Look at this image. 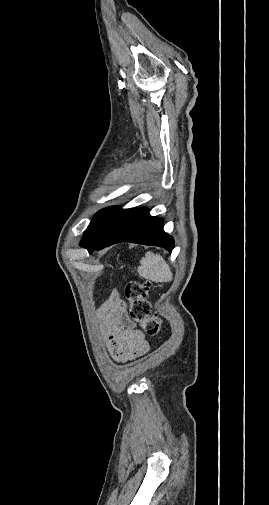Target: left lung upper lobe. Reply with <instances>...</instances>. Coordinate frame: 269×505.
Listing matches in <instances>:
<instances>
[{
	"label": "left lung upper lobe",
	"instance_id": "1",
	"mask_svg": "<svg viewBox=\"0 0 269 505\" xmlns=\"http://www.w3.org/2000/svg\"><path fill=\"white\" fill-rule=\"evenodd\" d=\"M122 209L116 206L100 210L92 219L83 235L80 246L87 247L98 243L111 228Z\"/></svg>",
	"mask_w": 269,
	"mask_h": 505
}]
</instances>
